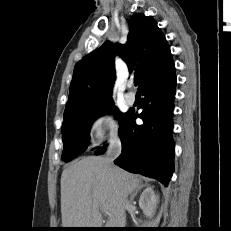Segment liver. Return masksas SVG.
Here are the masks:
<instances>
[{"mask_svg":"<svg viewBox=\"0 0 231 231\" xmlns=\"http://www.w3.org/2000/svg\"><path fill=\"white\" fill-rule=\"evenodd\" d=\"M140 180L105 157L88 156L67 166L61 175L63 228H101V212L108 214L107 228H123L125 199Z\"/></svg>","mask_w":231,"mask_h":231,"instance_id":"obj_1","label":"liver"}]
</instances>
